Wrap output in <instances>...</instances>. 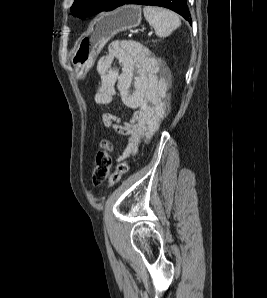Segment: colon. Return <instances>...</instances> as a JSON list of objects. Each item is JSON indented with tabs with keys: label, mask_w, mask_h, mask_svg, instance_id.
Wrapping results in <instances>:
<instances>
[{
	"label": "colon",
	"mask_w": 267,
	"mask_h": 298,
	"mask_svg": "<svg viewBox=\"0 0 267 298\" xmlns=\"http://www.w3.org/2000/svg\"><path fill=\"white\" fill-rule=\"evenodd\" d=\"M111 169V143L108 140H102L100 148L96 154L93 171L92 182L95 186L101 185L109 176ZM128 163L121 162L117 165L115 172L109 179L108 185L114 186L117 184L123 175L128 171Z\"/></svg>",
	"instance_id": "obj_1"
}]
</instances>
